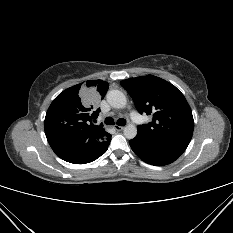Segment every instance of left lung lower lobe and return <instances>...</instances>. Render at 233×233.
Listing matches in <instances>:
<instances>
[{"label":"left lung lower lobe","instance_id":"left-lung-lower-lobe-1","mask_svg":"<svg viewBox=\"0 0 233 233\" xmlns=\"http://www.w3.org/2000/svg\"><path fill=\"white\" fill-rule=\"evenodd\" d=\"M129 144L137 156L154 166L170 164L183 153L152 145L138 136L130 140Z\"/></svg>","mask_w":233,"mask_h":233}]
</instances>
